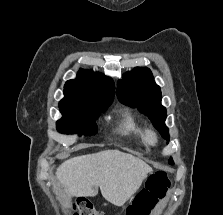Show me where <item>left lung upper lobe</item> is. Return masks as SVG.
I'll list each match as a JSON object with an SVG mask.
<instances>
[{
  "mask_svg": "<svg viewBox=\"0 0 223 215\" xmlns=\"http://www.w3.org/2000/svg\"><path fill=\"white\" fill-rule=\"evenodd\" d=\"M118 99L131 107L138 108L152 121L161 136L169 141L168 128L165 125L166 109L161 105L160 87L155 83L150 69L136 67L123 75L118 81ZM173 164V160L169 159Z\"/></svg>",
  "mask_w": 223,
  "mask_h": 215,
  "instance_id": "1",
  "label": "left lung upper lobe"
}]
</instances>
